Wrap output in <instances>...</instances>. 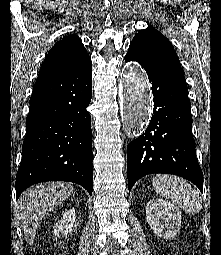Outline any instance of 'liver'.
<instances>
[{
	"instance_id": "1",
	"label": "liver",
	"mask_w": 221,
	"mask_h": 255,
	"mask_svg": "<svg viewBox=\"0 0 221 255\" xmlns=\"http://www.w3.org/2000/svg\"><path fill=\"white\" fill-rule=\"evenodd\" d=\"M73 186L64 182H48L28 188L14 210L28 244H32L42 218L73 193Z\"/></svg>"
}]
</instances>
